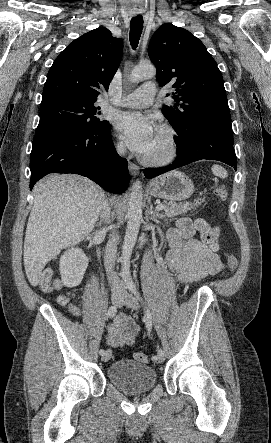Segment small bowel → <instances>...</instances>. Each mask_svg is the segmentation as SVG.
<instances>
[{"label": "small bowel", "instance_id": "small-bowel-1", "mask_svg": "<svg viewBox=\"0 0 271 443\" xmlns=\"http://www.w3.org/2000/svg\"><path fill=\"white\" fill-rule=\"evenodd\" d=\"M194 228L188 218L178 220L176 228L168 234L170 249L166 255L168 266L173 269L182 283L198 281L210 275H216L223 269L219 256L206 245L193 238ZM61 285L55 284L59 289ZM58 301L67 311L80 317L82 312L78 305L68 296H59ZM138 334V326L131 317L118 315L108 327L107 343L114 348L131 345Z\"/></svg>", "mask_w": 271, "mask_h": 443}]
</instances>
